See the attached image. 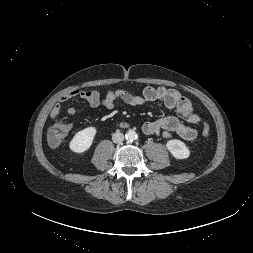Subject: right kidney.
Listing matches in <instances>:
<instances>
[{"instance_id": "1", "label": "right kidney", "mask_w": 253, "mask_h": 253, "mask_svg": "<svg viewBox=\"0 0 253 253\" xmlns=\"http://www.w3.org/2000/svg\"><path fill=\"white\" fill-rule=\"evenodd\" d=\"M96 132L97 130L93 126L77 132L70 142V149L75 153H83L87 151L92 145Z\"/></svg>"}]
</instances>
